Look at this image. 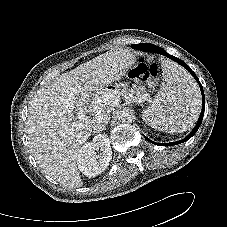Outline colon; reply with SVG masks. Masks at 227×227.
<instances>
[{
    "instance_id": "colon-1",
    "label": "colon",
    "mask_w": 227,
    "mask_h": 227,
    "mask_svg": "<svg viewBox=\"0 0 227 227\" xmlns=\"http://www.w3.org/2000/svg\"><path fill=\"white\" fill-rule=\"evenodd\" d=\"M129 77L134 81L156 84L159 79V68L157 64H147L143 58H140L131 66Z\"/></svg>"
}]
</instances>
